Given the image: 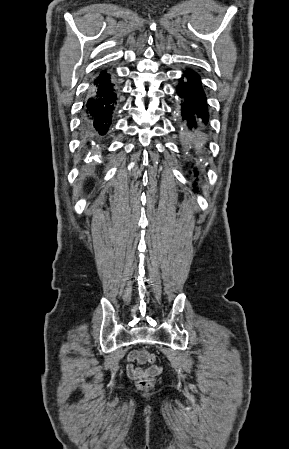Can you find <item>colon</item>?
<instances>
[{"instance_id":"1","label":"colon","mask_w":289,"mask_h":449,"mask_svg":"<svg viewBox=\"0 0 289 449\" xmlns=\"http://www.w3.org/2000/svg\"><path fill=\"white\" fill-rule=\"evenodd\" d=\"M146 360L149 363H154L156 360L155 354L151 353V352H146ZM153 384H154L153 376H146V377L139 378L137 380V386L140 389H149L153 386Z\"/></svg>"}]
</instances>
